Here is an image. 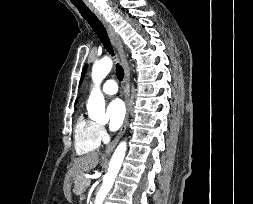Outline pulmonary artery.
<instances>
[{
    "label": "pulmonary artery",
    "instance_id": "1",
    "mask_svg": "<svg viewBox=\"0 0 253 204\" xmlns=\"http://www.w3.org/2000/svg\"><path fill=\"white\" fill-rule=\"evenodd\" d=\"M102 92L106 95H114L118 92V85L115 80L109 79L107 80L103 87Z\"/></svg>",
    "mask_w": 253,
    "mask_h": 204
}]
</instances>
